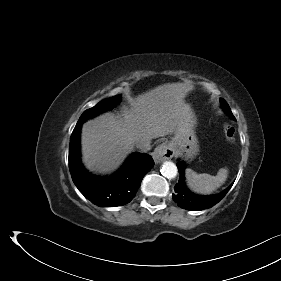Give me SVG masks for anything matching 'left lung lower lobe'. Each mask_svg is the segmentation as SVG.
Listing matches in <instances>:
<instances>
[{"instance_id":"0a47b994","label":"left lung lower lobe","mask_w":281,"mask_h":281,"mask_svg":"<svg viewBox=\"0 0 281 281\" xmlns=\"http://www.w3.org/2000/svg\"><path fill=\"white\" fill-rule=\"evenodd\" d=\"M178 171L180 173L179 182L174 187L175 193L173 194V200L179 207L191 211H198L207 209L219 201H221L226 193L229 191L232 185L217 195L200 196L190 192L185 186L184 182V163L182 161L177 163Z\"/></svg>"}]
</instances>
